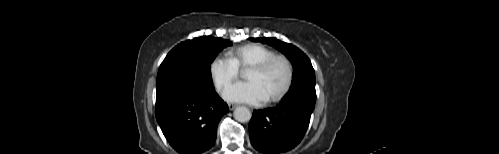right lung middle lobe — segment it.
I'll use <instances>...</instances> for the list:
<instances>
[{
    "instance_id": "dd1d6c3e",
    "label": "right lung middle lobe",
    "mask_w": 499,
    "mask_h": 154,
    "mask_svg": "<svg viewBox=\"0 0 499 154\" xmlns=\"http://www.w3.org/2000/svg\"><path fill=\"white\" fill-rule=\"evenodd\" d=\"M232 43L204 36L178 44L159 67L157 92L171 87L187 86L207 90L214 88L211 63L218 52Z\"/></svg>"
}]
</instances>
